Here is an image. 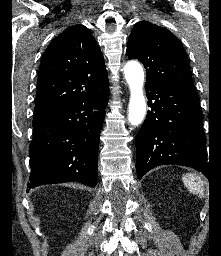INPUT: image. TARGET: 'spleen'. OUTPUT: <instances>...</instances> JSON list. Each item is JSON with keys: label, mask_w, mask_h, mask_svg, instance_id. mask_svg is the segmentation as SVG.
I'll return each instance as SVG.
<instances>
[{"label": "spleen", "mask_w": 221, "mask_h": 256, "mask_svg": "<svg viewBox=\"0 0 221 256\" xmlns=\"http://www.w3.org/2000/svg\"><path fill=\"white\" fill-rule=\"evenodd\" d=\"M182 179L185 186L190 191V193L203 197L204 195L203 182L199 176H196L192 173H188L185 176H183Z\"/></svg>", "instance_id": "spleen-1"}]
</instances>
